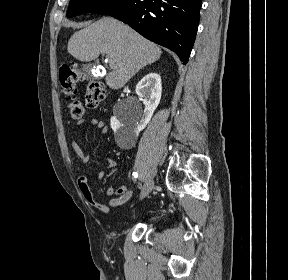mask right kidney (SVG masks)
I'll return each mask as SVG.
<instances>
[{
	"label": "right kidney",
	"mask_w": 288,
	"mask_h": 280,
	"mask_svg": "<svg viewBox=\"0 0 288 280\" xmlns=\"http://www.w3.org/2000/svg\"><path fill=\"white\" fill-rule=\"evenodd\" d=\"M161 93V77L157 73H149L139 81L136 85V94L145 105L141 120L135 126L123 127L116 117L111 119V127L115 132V139L119 145L125 139L136 140L139 132L146 127L158 107Z\"/></svg>",
	"instance_id": "obj_1"
}]
</instances>
